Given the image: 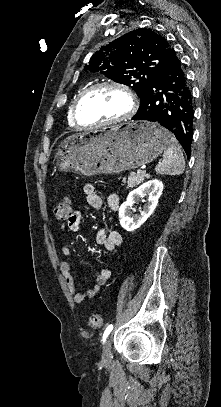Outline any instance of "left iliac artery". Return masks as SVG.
Returning a JSON list of instances; mask_svg holds the SVG:
<instances>
[{
    "mask_svg": "<svg viewBox=\"0 0 221 407\" xmlns=\"http://www.w3.org/2000/svg\"><path fill=\"white\" fill-rule=\"evenodd\" d=\"M112 329H113V325L112 324H110V325H108L107 327H106V329H105V331H104V334H103V343L106 341V338L108 337V335L110 334V332L112 331Z\"/></svg>",
    "mask_w": 221,
    "mask_h": 407,
    "instance_id": "44dca946",
    "label": "left iliac artery"
}]
</instances>
